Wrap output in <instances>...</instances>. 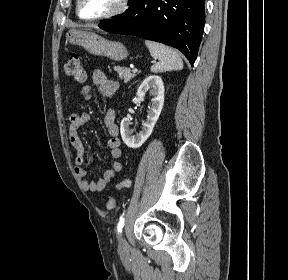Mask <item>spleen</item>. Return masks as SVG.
Returning <instances> with one entry per match:
<instances>
[{
	"instance_id": "1",
	"label": "spleen",
	"mask_w": 288,
	"mask_h": 280,
	"mask_svg": "<svg viewBox=\"0 0 288 280\" xmlns=\"http://www.w3.org/2000/svg\"><path fill=\"white\" fill-rule=\"evenodd\" d=\"M151 56L158 60L155 65L151 66L153 73H160L170 70H181L183 61L178 53L172 48L154 41H145Z\"/></svg>"
}]
</instances>
